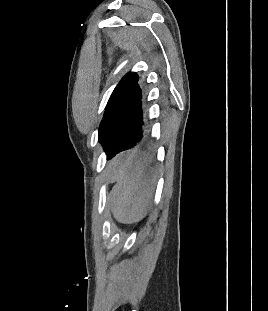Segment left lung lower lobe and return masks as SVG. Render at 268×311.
I'll use <instances>...</instances> for the list:
<instances>
[{"label":"left lung lower lobe","mask_w":268,"mask_h":311,"mask_svg":"<svg viewBox=\"0 0 268 311\" xmlns=\"http://www.w3.org/2000/svg\"><path fill=\"white\" fill-rule=\"evenodd\" d=\"M118 118L117 129L105 151L107 159L140 145L148 137L151 127L146 97L139 81L132 89L129 99Z\"/></svg>","instance_id":"left-lung-lower-lobe-1"}]
</instances>
